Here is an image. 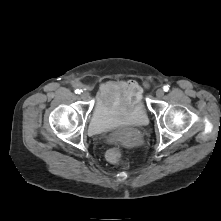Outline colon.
<instances>
[{
	"instance_id": "colon-1",
	"label": "colon",
	"mask_w": 221,
	"mask_h": 221,
	"mask_svg": "<svg viewBox=\"0 0 221 221\" xmlns=\"http://www.w3.org/2000/svg\"><path fill=\"white\" fill-rule=\"evenodd\" d=\"M107 158L110 162L121 163V149L119 147H113L107 152Z\"/></svg>"
}]
</instances>
